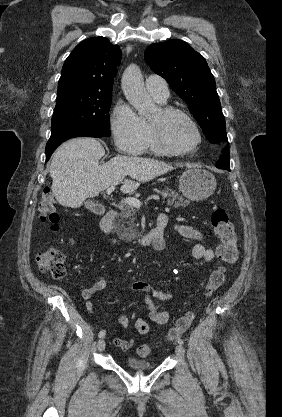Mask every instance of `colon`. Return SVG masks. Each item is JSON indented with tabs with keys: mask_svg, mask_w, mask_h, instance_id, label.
Returning a JSON list of instances; mask_svg holds the SVG:
<instances>
[{
	"mask_svg": "<svg viewBox=\"0 0 282 417\" xmlns=\"http://www.w3.org/2000/svg\"><path fill=\"white\" fill-rule=\"evenodd\" d=\"M39 207L42 213L44 224L48 225L52 231H58L59 216L56 209V202L50 187H44L39 199ZM211 226L215 231L216 237L220 241L217 253L221 261L227 264L234 263L238 256V237L234 230V225L229 219L228 213L223 208H216L211 213ZM38 269L42 272L49 273L53 278H62L65 274L64 255L57 248H50L42 253L36 261ZM225 272L221 268L215 269L206 283L208 294L218 291L224 283ZM194 315L187 312L181 316L173 328L168 331L166 341L171 343L173 339H180L181 333L192 323ZM140 356H151L152 348L143 346L139 348Z\"/></svg>",
	"mask_w": 282,
	"mask_h": 417,
	"instance_id": "1",
	"label": "colon"
}]
</instances>
